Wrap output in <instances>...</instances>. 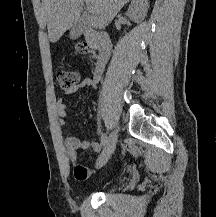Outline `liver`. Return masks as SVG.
I'll return each mask as SVG.
<instances>
[{
    "label": "liver",
    "instance_id": "obj_1",
    "mask_svg": "<svg viewBox=\"0 0 216 217\" xmlns=\"http://www.w3.org/2000/svg\"><path fill=\"white\" fill-rule=\"evenodd\" d=\"M129 0H43V13L47 22L48 36L52 43L57 42L66 30L80 21L82 3H88L91 15L84 23L105 28Z\"/></svg>",
    "mask_w": 216,
    "mask_h": 217
}]
</instances>
